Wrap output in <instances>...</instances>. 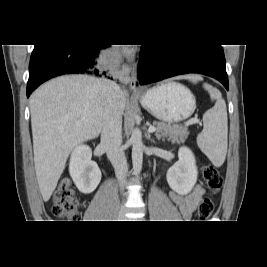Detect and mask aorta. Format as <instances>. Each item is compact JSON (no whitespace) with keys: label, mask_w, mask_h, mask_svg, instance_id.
Segmentation results:
<instances>
[{"label":"aorta","mask_w":267,"mask_h":267,"mask_svg":"<svg viewBox=\"0 0 267 267\" xmlns=\"http://www.w3.org/2000/svg\"><path fill=\"white\" fill-rule=\"evenodd\" d=\"M132 142V164L135 175H139L143 162L142 133L138 128H134L131 135Z\"/></svg>","instance_id":"obj_1"}]
</instances>
